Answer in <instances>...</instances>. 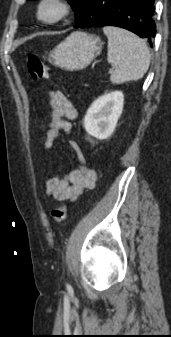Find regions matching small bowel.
Masks as SVG:
<instances>
[{
	"label": "small bowel",
	"mask_w": 171,
	"mask_h": 337,
	"mask_svg": "<svg viewBox=\"0 0 171 337\" xmlns=\"http://www.w3.org/2000/svg\"><path fill=\"white\" fill-rule=\"evenodd\" d=\"M50 128L47 133L41 158L51 157L54 140L60 132L69 134L72 130L71 120L77 116L74 103L61 91L49 92ZM70 146L76 153L79 168L68 171L63 175L54 174L46 183V197L57 201H75L85 189L94 187L97 179L95 170L86 164L85 157L75 141Z\"/></svg>",
	"instance_id": "c3829d8e"
}]
</instances>
